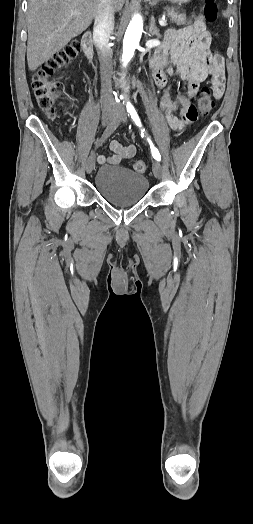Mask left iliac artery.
<instances>
[{
	"label": "left iliac artery",
	"instance_id": "44dca946",
	"mask_svg": "<svg viewBox=\"0 0 253 524\" xmlns=\"http://www.w3.org/2000/svg\"><path fill=\"white\" fill-rule=\"evenodd\" d=\"M127 111L128 113L130 114L131 118L134 120L135 124L138 126V127H142V124H141V121H140V118L135 110V108L133 107L132 104L130 103H127ZM142 133L144 132V129H141ZM148 142H149V145H150V148H151V153H152V156L160 161L161 160V156L159 154V151L157 150V148L153 145L152 141L148 138L147 139Z\"/></svg>",
	"mask_w": 253,
	"mask_h": 524
}]
</instances>
